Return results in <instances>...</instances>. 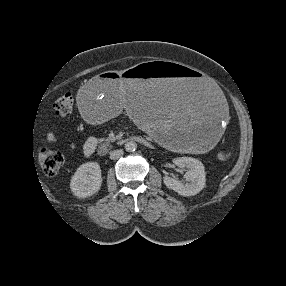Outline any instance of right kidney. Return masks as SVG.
I'll use <instances>...</instances> for the list:
<instances>
[{
    "mask_svg": "<svg viewBox=\"0 0 286 286\" xmlns=\"http://www.w3.org/2000/svg\"><path fill=\"white\" fill-rule=\"evenodd\" d=\"M102 185L101 169L97 162L80 165L71 178L70 189L80 198L90 197L98 192Z\"/></svg>",
    "mask_w": 286,
    "mask_h": 286,
    "instance_id": "obj_1",
    "label": "right kidney"
}]
</instances>
